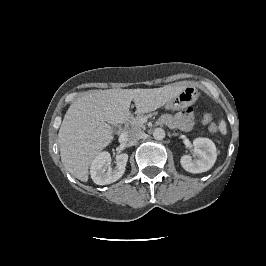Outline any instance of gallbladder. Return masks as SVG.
Segmentation results:
<instances>
[{
  "label": "gallbladder",
  "mask_w": 266,
  "mask_h": 266,
  "mask_svg": "<svg viewBox=\"0 0 266 266\" xmlns=\"http://www.w3.org/2000/svg\"><path fill=\"white\" fill-rule=\"evenodd\" d=\"M113 129H114V130H116V129H117V127H116V126H114V127H113Z\"/></svg>",
  "instance_id": "bac80fb5"
}]
</instances>
